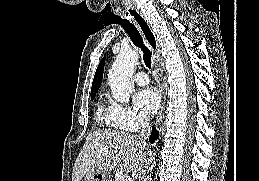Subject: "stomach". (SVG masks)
Wrapping results in <instances>:
<instances>
[{"instance_id": "stomach-1", "label": "stomach", "mask_w": 259, "mask_h": 181, "mask_svg": "<svg viewBox=\"0 0 259 181\" xmlns=\"http://www.w3.org/2000/svg\"><path fill=\"white\" fill-rule=\"evenodd\" d=\"M84 181H111L106 172L94 170L85 174Z\"/></svg>"}]
</instances>
